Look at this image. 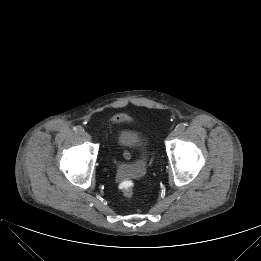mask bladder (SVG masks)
<instances>
[{"mask_svg":"<svg viewBox=\"0 0 261 261\" xmlns=\"http://www.w3.org/2000/svg\"><path fill=\"white\" fill-rule=\"evenodd\" d=\"M119 119H120V118L114 119V120H113V123H116ZM127 154H128V152H125V155H127Z\"/></svg>","mask_w":261,"mask_h":261,"instance_id":"1","label":"bladder"}]
</instances>
